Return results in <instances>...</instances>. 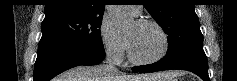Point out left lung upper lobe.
Returning <instances> with one entry per match:
<instances>
[{"mask_svg": "<svg viewBox=\"0 0 237 81\" xmlns=\"http://www.w3.org/2000/svg\"><path fill=\"white\" fill-rule=\"evenodd\" d=\"M168 35L169 48L162 59L173 61L203 48V36L193 0H146L144 5Z\"/></svg>", "mask_w": 237, "mask_h": 81, "instance_id": "1", "label": "left lung upper lobe"}]
</instances>
